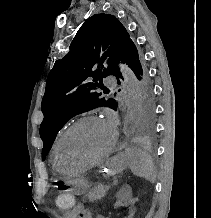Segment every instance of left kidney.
Instances as JSON below:
<instances>
[{
	"instance_id": "1",
	"label": "left kidney",
	"mask_w": 211,
	"mask_h": 218,
	"mask_svg": "<svg viewBox=\"0 0 211 218\" xmlns=\"http://www.w3.org/2000/svg\"><path fill=\"white\" fill-rule=\"evenodd\" d=\"M115 210H123V215L137 214L135 203H132V198H120V202H117V205H115Z\"/></svg>"
}]
</instances>
